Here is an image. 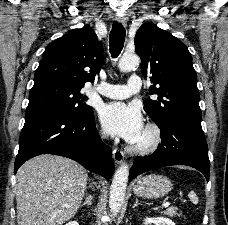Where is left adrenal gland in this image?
<instances>
[{"label":"left adrenal gland","mask_w":228,"mask_h":225,"mask_svg":"<svg viewBox=\"0 0 228 225\" xmlns=\"http://www.w3.org/2000/svg\"><path fill=\"white\" fill-rule=\"evenodd\" d=\"M138 205H141V203H138V199H135V205L132 207V209H135V207H138Z\"/></svg>","instance_id":"left-adrenal-gland-1"}]
</instances>
